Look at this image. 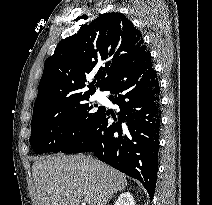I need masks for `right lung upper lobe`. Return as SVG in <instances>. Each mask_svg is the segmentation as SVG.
Returning <instances> with one entry per match:
<instances>
[{
    "mask_svg": "<svg viewBox=\"0 0 212 205\" xmlns=\"http://www.w3.org/2000/svg\"><path fill=\"white\" fill-rule=\"evenodd\" d=\"M147 51L140 31L123 14H101L77 34L60 41L45 63L34 110L66 105L104 91L109 81L126 65ZM97 71L96 87L89 74Z\"/></svg>",
    "mask_w": 212,
    "mask_h": 205,
    "instance_id": "obj_1",
    "label": "right lung upper lobe"
}]
</instances>
